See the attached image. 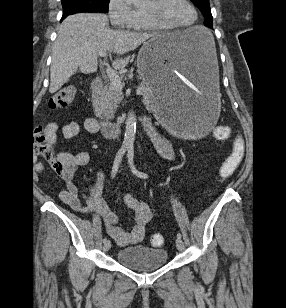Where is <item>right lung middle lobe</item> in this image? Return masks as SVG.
I'll return each mask as SVG.
<instances>
[{
  "label": "right lung middle lobe",
  "instance_id": "right-lung-middle-lobe-1",
  "mask_svg": "<svg viewBox=\"0 0 286 308\" xmlns=\"http://www.w3.org/2000/svg\"><path fill=\"white\" fill-rule=\"evenodd\" d=\"M110 0H61L63 17L77 12H108Z\"/></svg>",
  "mask_w": 286,
  "mask_h": 308
}]
</instances>
